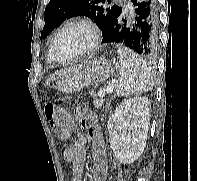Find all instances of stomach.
I'll list each match as a JSON object with an SVG mask.
<instances>
[{"instance_id":"0dacf381","label":"stomach","mask_w":197,"mask_h":181,"mask_svg":"<svg viewBox=\"0 0 197 181\" xmlns=\"http://www.w3.org/2000/svg\"><path fill=\"white\" fill-rule=\"evenodd\" d=\"M112 63L105 58L87 62L78 70L60 78L56 87L60 92L76 93L83 88L95 86L106 81L113 73Z\"/></svg>"}]
</instances>
